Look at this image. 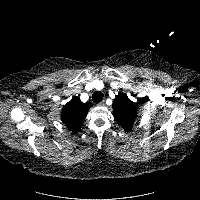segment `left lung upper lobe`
Returning a JSON list of instances; mask_svg holds the SVG:
<instances>
[{
  "mask_svg": "<svg viewBox=\"0 0 200 200\" xmlns=\"http://www.w3.org/2000/svg\"><path fill=\"white\" fill-rule=\"evenodd\" d=\"M113 112L118 124L124 131H130L137 117L135 103H133L127 95L120 93L113 102Z\"/></svg>",
  "mask_w": 200,
  "mask_h": 200,
  "instance_id": "obj_1",
  "label": "left lung upper lobe"
}]
</instances>
